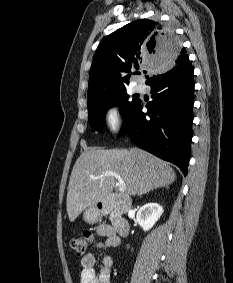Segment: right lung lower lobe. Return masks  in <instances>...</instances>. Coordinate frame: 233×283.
Wrapping results in <instances>:
<instances>
[{"instance_id":"1","label":"right lung lower lobe","mask_w":233,"mask_h":283,"mask_svg":"<svg viewBox=\"0 0 233 283\" xmlns=\"http://www.w3.org/2000/svg\"><path fill=\"white\" fill-rule=\"evenodd\" d=\"M153 100H139L125 119L119 136L128 134L134 143L176 164L187 174L190 158L194 103L193 67L184 56L170 70H161L148 82Z\"/></svg>"}]
</instances>
